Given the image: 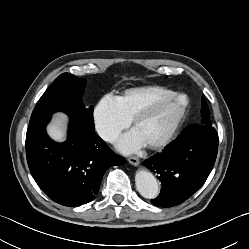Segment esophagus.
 Instances as JSON below:
<instances>
[{
	"label": "esophagus",
	"instance_id": "34e87169",
	"mask_svg": "<svg viewBox=\"0 0 249 249\" xmlns=\"http://www.w3.org/2000/svg\"><path fill=\"white\" fill-rule=\"evenodd\" d=\"M128 161H129L130 164H132L134 166H137L140 163V159L137 156H130L128 158Z\"/></svg>",
	"mask_w": 249,
	"mask_h": 249
}]
</instances>
